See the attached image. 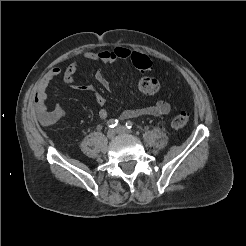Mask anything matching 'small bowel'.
Masks as SVG:
<instances>
[{
	"instance_id": "1",
	"label": "small bowel",
	"mask_w": 246,
	"mask_h": 246,
	"mask_svg": "<svg viewBox=\"0 0 246 246\" xmlns=\"http://www.w3.org/2000/svg\"><path fill=\"white\" fill-rule=\"evenodd\" d=\"M132 51L126 47H117L113 50H104L100 52H84L82 57L90 61H99L105 64L113 63L117 60H126L131 58ZM78 63H72L64 72L58 67H53L48 73L39 81L35 92V110L41 123L50 125L58 122L65 116L64 110L60 106L48 108L46 105L47 90L51 82L56 78H61L62 82L72 88L79 90L90 91L94 94L96 103L100 109L98 115L101 119L108 117V111L105 108V97L96 91L91 86H81L75 83V75L77 72ZM95 79L105 89L110 90V83L101 71L95 73ZM171 110L170 104L166 101H157L156 103L141 108L127 109L121 114L122 119H130L140 116H164Z\"/></svg>"
}]
</instances>
